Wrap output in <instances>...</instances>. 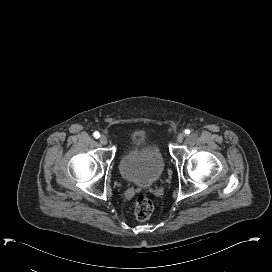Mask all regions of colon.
Returning <instances> with one entry per match:
<instances>
[{
	"label": "colon",
	"instance_id": "colon-1",
	"mask_svg": "<svg viewBox=\"0 0 272 272\" xmlns=\"http://www.w3.org/2000/svg\"><path fill=\"white\" fill-rule=\"evenodd\" d=\"M153 209V201L147 194L141 193L137 195L134 200V213L137 219H148L151 216Z\"/></svg>",
	"mask_w": 272,
	"mask_h": 272
}]
</instances>
